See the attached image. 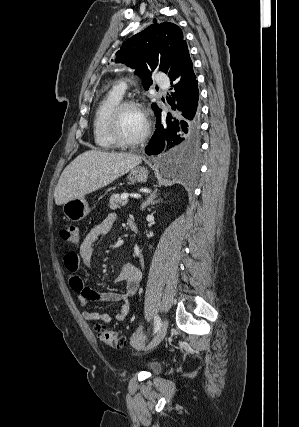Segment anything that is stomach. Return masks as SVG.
I'll use <instances>...</instances> for the list:
<instances>
[{
	"instance_id": "0dacf381",
	"label": "stomach",
	"mask_w": 299,
	"mask_h": 427,
	"mask_svg": "<svg viewBox=\"0 0 299 427\" xmlns=\"http://www.w3.org/2000/svg\"><path fill=\"white\" fill-rule=\"evenodd\" d=\"M129 180L132 182L144 183L148 179V170L137 166L130 170ZM90 212L87 200L84 196L72 199L63 204L64 215L73 222L84 219Z\"/></svg>"
}]
</instances>
